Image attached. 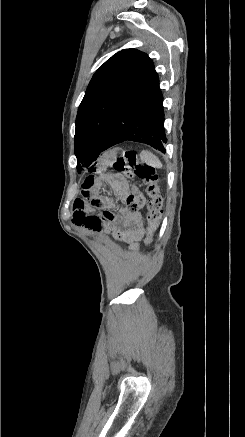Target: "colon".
I'll return each mask as SVG.
<instances>
[{"instance_id":"5ec220e1","label":"colon","mask_w":245,"mask_h":437,"mask_svg":"<svg viewBox=\"0 0 245 437\" xmlns=\"http://www.w3.org/2000/svg\"><path fill=\"white\" fill-rule=\"evenodd\" d=\"M112 167L127 177L136 176L140 178L146 185V194L149 199L147 200L142 192L134 190L126 199V208L130 212H136L147 207L148 227L145 243L150 245L160 224L163 212L157 187L158 175L156 170L153 166L141 162L137 154L131 150L123 151L116 156Z\"/></svg>"}]
</instances>
